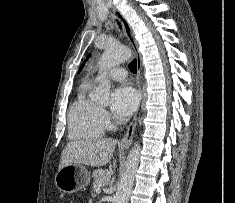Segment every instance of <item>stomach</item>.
<instances>
[{"mask_svg":"<svg viewBox=\"0 0 235 203\" xmlns=\"http://www.w3.org/2000/svg\"><path fill=\"white\" fill-rule=\"evenodd\" d=\"M90 183V172L80 164H69L55 176L57 188L64 193H75Z\"/></svg>","mask_w":235,"mask_h":203,"instance_id":"stomach-1","label":"stomach"}]
</instances>
